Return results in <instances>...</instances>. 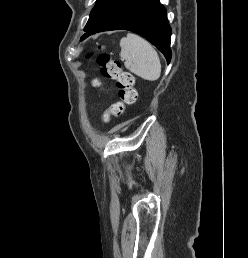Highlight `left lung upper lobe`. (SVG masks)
Segmentation results:
<instances>
[{"mask_svg":"<svg viewBox=\"0 0 248 258\" xmlns=\"http://www.w3.org/2000/svg\"><path fill=\"white\" fill-rule=\"evenodd\" d=\"M128 0H97L96 5L90 13L89 20L84 28V31H89L98 24L102 23Z\"/></svg>","mask_w":248,"mask_h":258,"instance_id":"1","label":"left lung upper lobe"}]
</instances>
